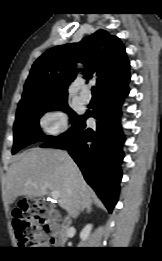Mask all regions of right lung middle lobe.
Instances as JSON below:
<instances>
[{
  "label": "right lung middle lobe",
  "mask_w": 162,
  "mask_h": 261,
  "mask_svg": "<svg viewBox=\"0 0 162 261\" xmlns=\"http://www.w3.org/2000/svg\"><path fill=\"white\" fill-rule=\"evenodd\" d=\"M49 110H63L74 120L78 117L68 107L67 96H34L20 101L13 126V154L29 144L50 138L41 132L39 126L40 117Z\"/></svg>",
  "instance_id": "obj_1"
}]
</instances>
